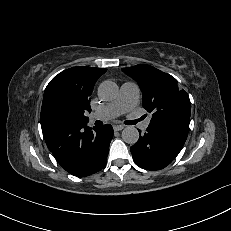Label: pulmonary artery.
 Listing matches in <instances>:
<instances>
[{
  "label": "pulmonary artery",
  "mask_w": 231,
  "mask_h": 231,
  "mask_svg": "<svg viewBox=\"0 0 231 231\" xmlns=\"http://www.w3.org/2000/svg\"><path fill=\"white\" fill-rule=\"evenodd\" d=\"M139 101V87L134 82H125L121 85L118 96L111 102L90 115L91 120H110L129 112L135 108ZM149 120L141 123L140 128L146 130Z\"/></svg>",
  "instance_id": "1"
}]
</instances>
